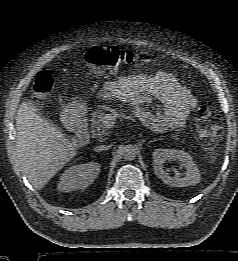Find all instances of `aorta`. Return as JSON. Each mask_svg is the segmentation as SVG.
Segmentation results:
<instances>
[{
	"instance_id": "1",
	"label": "aorta",
	"mask_w": 238,
	"mask_h": 261,
	"mask_svg": "<svg viewBox=\"0 0 238 261\" xmlns=\"http://www.w3.org/2000/svg\"><path fill=\"white\" fill-rule=\"evenodd\" d=\"M137 147L133 144H127L122 148V156L127 161H132L136 158Z\"/></svg>"
}]
</instances>
